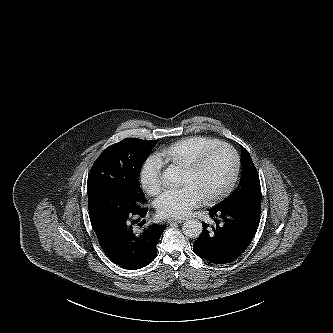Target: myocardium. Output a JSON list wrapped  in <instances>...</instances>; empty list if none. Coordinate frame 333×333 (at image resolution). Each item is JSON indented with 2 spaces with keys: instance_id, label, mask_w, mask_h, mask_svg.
Returning <instances> with one entry per match:
<instances>
[{
  "instance_id": "myocardium-1",
  "label": "myocardium",
  "mask_w": 333,
  "mask_h": 333,
  "mask_svg": "<svg viewBox=\"0 0 333 333\" xmlns=\"http://www.w3.org/2000/svg\"><path fill=\"white\" fill-rule=\"evenodd\" d=\"M221 148H228L232 151V153L234 154V157H235V168H234L231 178L229 179L227 184L221 190H219L218 192H216L213 195H210V196L204 198V202L206 204H213V203H216V202L224 199L233 190V188L238 180V177L240 175V171H241L240 154L238 153V151L236 150V148L233 145H231L230 143L221 141L215 145H212V146L206 148L205 150L200 152L188 164H186L185 166L182 167V170H184L186 172L195 173L204 165V163L206 162V160L212 153H214L215 151H217L218 149H221Z\"/></svg>"
}]
</instances>
